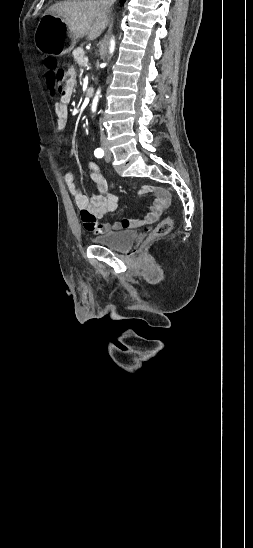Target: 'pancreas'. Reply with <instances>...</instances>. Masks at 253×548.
Here are the masks:
<instances>
[{
    "mask_svg": "<svg viewBox=\"0 0 253 548\" xmlns=\"http://www.w3.org/2000/svg\"><path fill=\"white\" fill-rule=\"evenodd\" d=\"M74 60L79 64L82 65V59L84 58L85 52L82 47H78L75 49L72 53Z\"/></svg>",
    "mask_w": 253,
    "mask_h": 548,
    "instance_id": "obj_1",
    "label": "pancreas"
}]
</instances>
